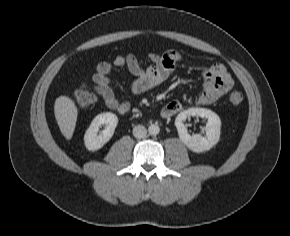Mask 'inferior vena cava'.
Returning a JSON list of instances; mask_svg holds the SVG:
<instances>
[{"label": "inferior vena cava", "instance_id": "602c4592", "mask_svg": "<svg viewBox=\"0 0 290 236\" xmlns=\"http://www.w3.org/2000/svg\"><path fill=\"white\" fill-rule=\"evenodd\" d=\"M147 134V129L143 125H137L133 128V135L135 138H143Z\"/></svg>", "mask_w": 290, "mask_h": 236}]
</instances>
